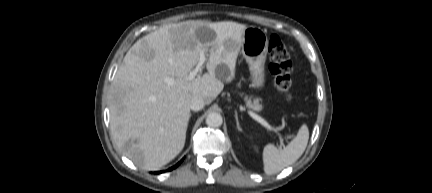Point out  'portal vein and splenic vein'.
I'll use <instances>...</instances> for the list:
<instances>
[{"mask_svg": "<svg viewBox=\"0 0 432 193\" xmlns=\"http://www.w3.org/2000/svg\"><path fill=\"white\" fill-rule=\"evenodd\" d=\"M206 61V57L203 51L200 52V58H199V62L197 64V66L195 67V69L193 71L190 72L188 79L189 80H193L195 78V76L197 75V73L199 71H201L203 64ZM165 82L168 83L169 85H173L175 83L174 79L172 78H166ZM249 115L256 121H258L260 124H262L264 127H266L268 130L270 131H274L279 135V138L282 140V136L281 134L278 132V130L274 127H272L265 119H263L261 116L257 115L256 113L249 111ZM281 146H284L283 143H281Z\"/></svg>", "mask_w": 432, "mask_h": 193, "instance_id": "obj_1", "label": "portal vein and splenic vein"}]
</instances>
